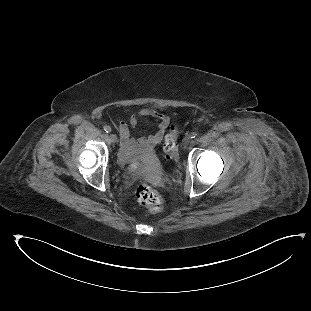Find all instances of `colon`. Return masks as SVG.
Returning <instances> with one entry per match:
<instances>
[{
    "label": "colon",
    "instance_id": "colon-1",
    "mask_svg": "<svg viewBox=\"0 0 311 311\" xmlns=\"http://www.w3.org/2000/svg\"><path fill=\"white\" fill-rule=\"evenodd\" d=\"M178 130L175 125H171L165 134L163 153L166 161H171L177 154ZM138 203L149 210L157 213L163 208V200L159 193L146 181L140 180L135 189Z\"/></svg>",
    "mask_w": 311,
    "mask_h": 311
}]
</instances>
